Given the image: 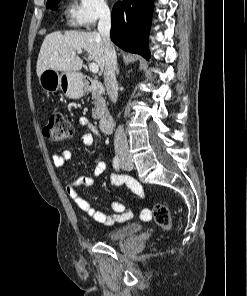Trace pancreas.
Returning <instances> with one entry per match:
<instances>
[{
	"mask_svg": "<svg viewBox=\"0 0 247 296\" xmlns=\"http://www.w3.org/2000/svg\"><path fill=\"white\" fill-rule=\"evenodd\" d=\"M92 100V104L94 105V108L92 109V117L93 119H100L108 112L105 99L97 94H93Z\"/></svg>",
	"mask_w": 247,
	"mask_h": 296,
	"instance_id": "pancreas-1",
	"label": "pancreas"
}]
</instances>
